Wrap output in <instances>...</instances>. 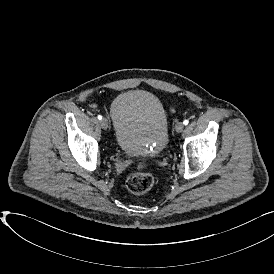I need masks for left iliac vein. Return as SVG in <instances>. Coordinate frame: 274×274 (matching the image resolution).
<instances>
[{"label":"left iliac vein","instance_id":"1","mask_svg":"<svg viewBox=\"0 0 274 274\" xmlns=\"http://www.w3.org/2000/svg\"><path fill=\"white\" fill-rule=\"evenodd\" d=\"M183 129H184V124L182 122L176 123L175 125L176 132L180 133L183 131Z\"/></svg>","mask_w":274,"mask_h":274}]
</instances>
